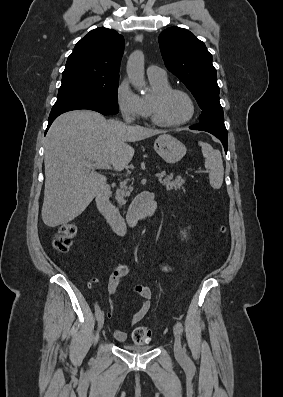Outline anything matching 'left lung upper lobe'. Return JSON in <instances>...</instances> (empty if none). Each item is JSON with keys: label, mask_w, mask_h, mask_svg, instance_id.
Wrapping results in <instances>:
<instances>
[{"label": "left lung upper lobe", "mask_w": 283, "mask_h": 397, "mask_svg": "<svg viewBox=\"0 0 283 397\" xmlns=\"http://www.w3.org/2000/svg\"><path fill=\"white\" fill-rule=\"evenodd\" d=\"M159 45L167 69L196 98L202 110L200 123L225 128L216 69L204 42L186 29L170 27L159 35Z\"/></svg>", "instance_id": "5c2ea615"}]
</instances>
